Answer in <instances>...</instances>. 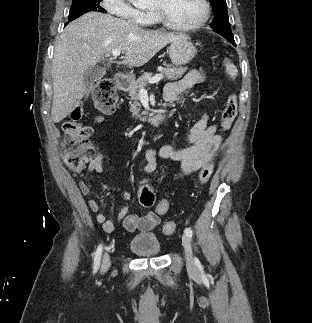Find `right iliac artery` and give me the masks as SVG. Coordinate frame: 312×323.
I'll use <instances>...</instances> for the list:
<instances>
[{
  "label": "right iliac artery",
  "mask_w": 312,
  "mask_h": 323,
  "mask_svg": "<svg viewBox=\"0 0 312 323\" xmlns=\"http://www.w3.org/2000/svg\"><path fill=\"white\" fill-rule=\"evenodd\" d=\"M101 254H102V245H99L96 250L95 258H94V266L93 267H94L95 271L97 270V268L100 265Z\"/></svg>",
  "instance_id": "1"
}]
</instances>
